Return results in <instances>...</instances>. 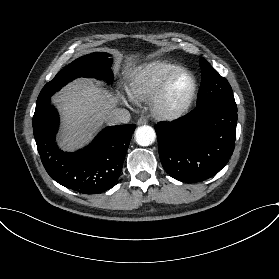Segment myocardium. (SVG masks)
<instances>
[{
    "mask_svg": "<svg viewBox=\"0 0 279 279\" xmlns=\"http://www.w3.org/2000/svg\"><path fill=\"white\" fill-rule=\"evenodd\" d=\"M182 74H187L192 81V87L188 96L178 105L170 106L168 104V97L173 82ZM197 80L192 72L183 69L168 77L161 87L157 90L152 98V112L153 114L163 121H176L182 118L191 107L196 93H197Z\"/></svg>",
    "mask_w": 279,
    "mask_h": 279,
    "instance_id": "1",
    "label": "myocardium"
}]
</instances>
